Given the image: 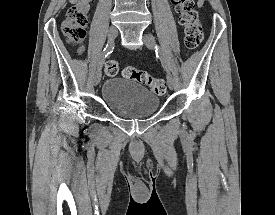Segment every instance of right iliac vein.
Wrapping results in <instances>:
<instances>
[{
    "instance_id": "obj_1",
    "label": "right iliac vein",
    "mask_w": 275,
    "mask_h": 215,
    "mask_svg": "<svg viewBox=\"0 0 275 215\" xmlns=\"http://www.w3.org/2000/svg\"><path fill=\"white\" fill-rule=\"evenodd\" d=\"M117 35H118L117 28L114 26H111L108 31V42L113 43ZM101 76H102V69L101 67H98L93 78V83L95 86L99 84L101 80Z\"/></svg>"
}]
</instances>
